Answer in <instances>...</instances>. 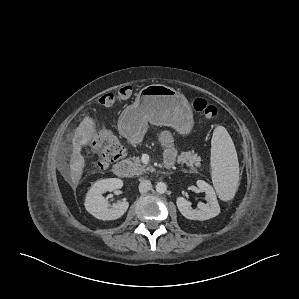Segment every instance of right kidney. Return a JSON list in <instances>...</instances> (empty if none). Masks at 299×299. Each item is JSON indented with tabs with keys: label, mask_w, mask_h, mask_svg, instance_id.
<instances>
[{
	"label": "right kidney",
	"mask_w": 299,
	"mask_h": 299,
	"mask_svg": "<svg viewBox=\"0 0 299 299\" xmlns=\"http://www.w3.org/2000/svg\"><path fill=\"white\" fill-rule=\"evenodd\" d=\"M123 186L122 180L118 178L102 179L95 182L89 189L86 199L85 208L88 213L100 220H116L123 216L129 207L127 201L117 202L112 205L105 200L103 194L107 191L119 189Z\"/></svg>",
	"instance_id": "1"
}]
</instances>
